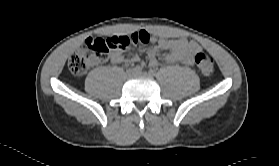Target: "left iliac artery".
<instances>
[{
    "label": "left iliac artery",
    "mask_w": 279,
    "mask_h": 166,
    "mask_svg": "<svg viewBox=\"0 0 279 166\" xmlns=\"http://www.w3.org/2000/svg\"><path fill=\"white\" fill-rule=\"evenodd\" d=\"M149 75L154 76V75H155V70L150 69V70H149Z\"/></svg>",
    "instance_id": "obj_1"
}]
</instances>
